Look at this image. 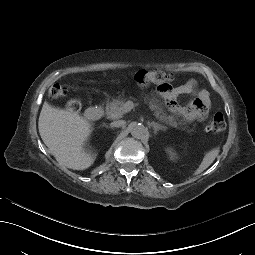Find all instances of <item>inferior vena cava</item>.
Listing matches in <instances>:
<instances>
[{
    "instance_id": "inferior-vena-cava-1",
    "label": "inferior vena cava",
    "mask_w": 255,
    "mask_h": 255,
    "mask_svg": "<svg viewBox=\"0 0 255 255\" xmlns=\"http://www.w3.org/2000/svg\"><path fill=\"white\" fill-rule=\"evenodd\" d=\"M124 125H125L124 121L118 120V121H113L110 126L113 128H119V127H123Z\"/></svg>"
}]
</instances>
